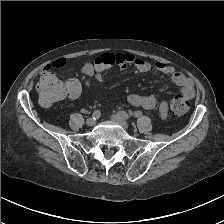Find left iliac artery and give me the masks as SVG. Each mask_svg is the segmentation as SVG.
I'll use <instances>...</instances> for the list:
<instances>
[{"instance_id":"1","label":"left iliac artery","mask_w":224,"mask_h":224,"mask_svg":"<svg viewBox=\"0 0 224 224\" xmlns=\"http://www.w3.org/2000/svg\"><path fill=\"white\" fill-rule=\"evenodd\" d=\"M118 115L123 119H129V115L125 111H119Z\"/></svg>"}]
</instances>
